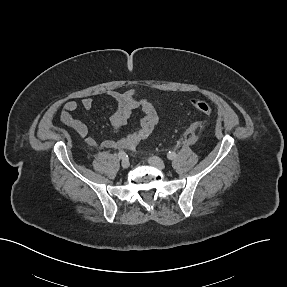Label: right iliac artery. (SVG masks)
<instances>
[{
  "mask_svg": "<svg viewBox=\"0 0 287 287\" xmlns=\"http://www.w3.org/2000/svg\"><path fill=\"white\" fill-rule=\"evenodd\" d=\"M118 157H119L120 159H124L125 157H127V155H126V153H125L124 151H120V152L118 153Z\"/></svg>",
  "mask_w": 287,
  "mask_h": 287,
  "instance_id": "right-iliac-artery-1",
  "label": "right iliac artery"
}]
</instances>
